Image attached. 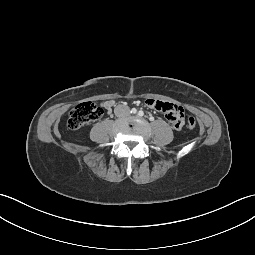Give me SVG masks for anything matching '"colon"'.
Listing matches in <instances>:
<instances>
[{
	"mask_svg": "<svg viewBox=\"0 0 255 255\" xmlns=\"http://www.w3.org/2000/svg\"><path fill=\"white\" fill-rule=\"evenodd\" d=\"M102 109L93 102H84L76 105L69 113L68 127L77 130L85 125L99 120L102 116ZM186 124L189 129H194L196 120L194 117H188Z\"/></svg>",
	"mask_w": 255,
	"mask_h": 255,
	"instance_id": "obj_1",
	"label": "colon"
}]
</instances>
